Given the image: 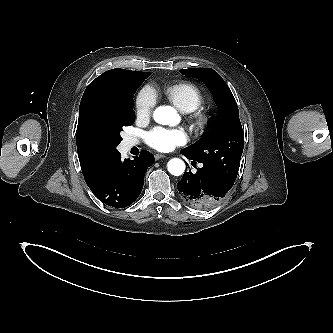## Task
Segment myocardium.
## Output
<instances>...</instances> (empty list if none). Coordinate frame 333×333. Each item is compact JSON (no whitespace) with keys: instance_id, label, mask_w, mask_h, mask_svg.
<instances>
[{"instance_id":"f54148a6","label":"myocardium","mask_w":333,"mask_h":333,"mask_svg":"<svg viewBox=\"0 0 333 333\" xmlns=\"http://www.w3.org/2000/svg\"><path fill=\"white\" fill-rule=\"evenodd\" d=\"M210 116L206 112H196L191 115L190 120L197 130H203L209 123Z\"/></svg>"}]
</instances>
